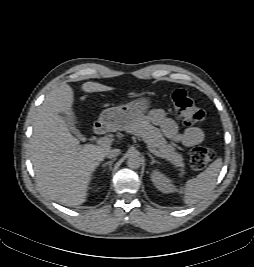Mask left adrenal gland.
Returning <instances> with one entry per match:
<instances>
[{"instance_id":"obj_1","label":"left adrenal gland","mask_w":254,"mask_h":267,"mask_svg":"<svg viewBox=\"0 0 254 267\" xmlns=\"http://www.w3.org/2000/svg\"><path fill=\"white\" fill-rule=\"evenodd\" d=\"M148 156L151 158V165H153L154 163H159L151 154H148Z\"/></svg>"}]
</instances>
